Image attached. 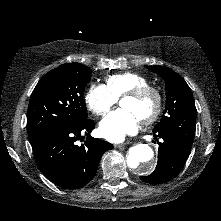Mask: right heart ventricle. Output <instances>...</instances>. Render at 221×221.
<instances>
[{
    "label": "right heart ventricle",
    "instance_id": "right-heart-ventricle-1",
    "mask_svg": "<svg viewBox=\"0 0 221 221\" xmlns=\"http://www.w3.org/2000/svg\"><path fill=\"white\" fill-rule=\"evenodd\" d=\"M149 85L148 79L139 73L123 72L110 75L105 80V86L109 92L116 98H121L125 93Z\"/></svg>",
    "mask_w": 221,
    "mask_h": 221
}]
</instances>
